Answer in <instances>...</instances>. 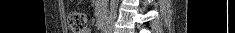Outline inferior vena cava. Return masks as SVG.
Wrapping results in <instances>:
<instances>
[{"instance_id":"1","label":"inferior vena cava","mask_w":235,"mask_h":33,"mask_svg":"<svg viewBox=\"0 0 235 33\" xmlns=\"http://www.w3.org/2000/svg\"><path fill=\"white\" fill-rule=\"evenodd\" d=\"M114 17H115V7L112 6L111 9H110V20H111V22H113Z\"/></svg>"}]
</instances>
